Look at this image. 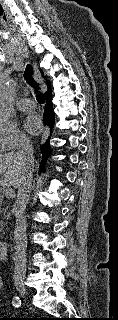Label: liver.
Listing matches in <instances>:
<instances>
[{
    "mask_svg": "<svg viewBox=\"0 0 118 320\" xmlns=\"http://www.w3.org/2000/svg\"><path fill=\"white\" fill-rule=\"evenodd\" d=\"M23 170L24 164L18 158L17 153L0 154V184L2 186L18 187Z\"/></svg>",
    "mask_w": 118,
    "mask_h": 320,
    "instance_id": "1",
    "label": "liver"
}]
</instances>
